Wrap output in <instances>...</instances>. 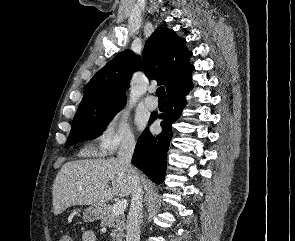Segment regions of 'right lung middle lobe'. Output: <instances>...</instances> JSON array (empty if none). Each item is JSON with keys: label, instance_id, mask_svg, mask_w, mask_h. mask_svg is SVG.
Here are the masks:
<instances>
[{"label": "right lung middle lobe", "instance_id": "obj_1", "mask_svg": "<svg viewBox=\"0 0 295 241\" xmlns=\"http://www.w3.org/2000/svg\"><path fill=\"white\" fill-rule=\"evenodd\" d=\"M125 103L126 101L120 100L78 108L67 144L74 145L84 139L100 136L108 122L124 107Z\"/></svg>", "mask_w": 295, "mask_h": 241}]
</instances>
